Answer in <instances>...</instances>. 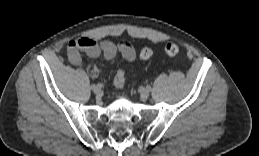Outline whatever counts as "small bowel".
Masks as SVG:
<instances>
[{
    "instance_id": "obj_1",
    "label": "small bowel",
    "mask_w": 259,
    "mask_h": 156,
    "mask_svg": "<svg viewBox=\"0 0 259 156\" xmlns=\"http://www.w3.org/2000/svg\"><path fill=\"white\" fill-rule=\"evenodd\" d=\"M119 52L126 60L132 62L135 60V51L133 47L122 42L118 45L109 40L96 41L89 37H81L69 42L67 47L68 58L71 63L78 65L82 61V53H85L91 58L103 56L107 60L113 59ZM88 74L95 78L99 75L100 69L95 64L87 66Z\"/></svg>"
}]
</instances>
